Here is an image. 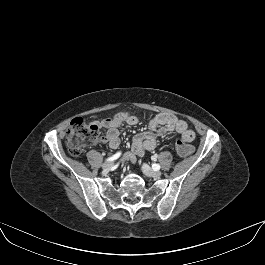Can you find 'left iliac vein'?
<instances>
[{
    "label": "left iliac vein",
    "instance_id": "obj_1",
    "mask_svg": "<svg viewBox=\"0 0 265 265\" xmlns=\"http://www.w3.org/2000/svg\"><path fill=\"white\" fill-rule=\"evenodd\" d=\"M142 171L146 176L153 178H159L162 174L160 171L153 170L147 164L142 165Z\"/></svg>",
    "mask_w": 265,
    "mask_h": 265
}]
</instances>
